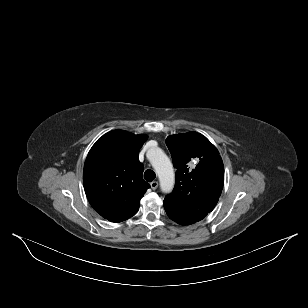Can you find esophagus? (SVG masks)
I'll return each instance as SVG.
<instances>
[{
    "mask_svg": "<svg viewBox=\"0 0 308 308\" xmlns=\"http://www.w3.org/2000/svg\"><path fill=\"white\" fill-rule=\"evenodd\" d=\"M150 186H151V188H152L153 190H155V189H157V187H158V182H157V181H153V182L150 183Z\"/></svg>",
    "mask_w": 308,
    "mask_h": 308,
    "instance_id": "34e87169",
    "label": "esophagus"
}]
</instances>
